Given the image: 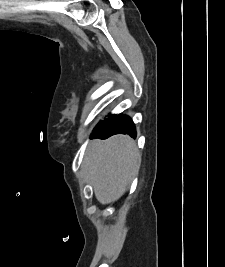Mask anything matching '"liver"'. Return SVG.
Instances as JSON below:
<instances>
[{
  "instance_id": "liver-1",
  "label": "liver",
  "mask_w": 225,
  "mask_h": 267,
  "mask_svg": "<svg viewBox=\"0 0 225 267\" xmlns=\"http://www.w3.org/2000/svg\"><path fill=\"white\" fill-rule=\"evenodd\" d=\"M141 154L126 135L91 142L81 166V178L92 185L102 205L117 201L137 175Z\"/></svg>"
}]
</instances>
